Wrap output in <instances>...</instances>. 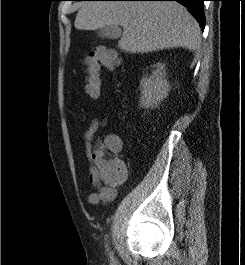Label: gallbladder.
I'll use <instances>...</instances> for the list:
<instances>
[{"instance_id":"bac80fb5","label":"gallbladder","mask_w":245,"mask_h":265,"mask_svg":"<svg viewBox=\"0 0 245 265\" xmlns=\"http://www.w3.org/2000/svg\"><path fill=\"white\" fill-rule=\"evenodd\" d=\"M121 32L119 26H105L99 30L98 35L102 38L117 40L120 38Z\"/></svg>"}]
</instances>
